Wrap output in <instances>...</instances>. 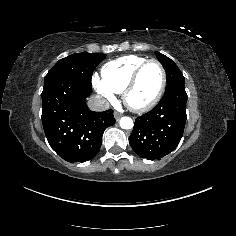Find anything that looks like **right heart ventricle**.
Returning <instances> with one entry per match:
<instances>
[{
    "mask_svg": "<svg viewBox=\"0 0 236 236\" xmlns=\"http://www.w3.org/2000/svg\"><path fill=\"white\" fill-rule=\"evenodd\" d=\"M147 58L137 55L122 56L101 68V79L113 93H122L136 67Z\"/></svg>",
    "mask_w": 236,
    "mask_h": 236,
    "instance_id": "e07e8e85",
    "label": "right heart ventricle"
}]
</instances>
